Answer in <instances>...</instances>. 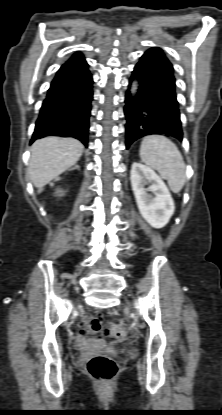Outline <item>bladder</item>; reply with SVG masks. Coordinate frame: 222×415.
Masks as SVG:
<instances>
[{
	"label": "bladder",
	"mask_w": 222,
	"mask_h": 415,
	"mask_svg": "<svg viewBox=\"0 0 222 415\" xmlns=\"http://www.w3.org/2000/svg\"><path fill=\"white\" fill-rule=\"evenodd\" d=\"M115 350H121V351H130L129 345L127 343L119 344L114 346Z\"/></svg>",
	"instance_id": "obj_1"
}]
</instances>
